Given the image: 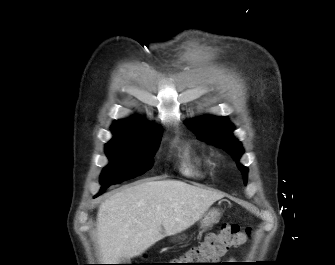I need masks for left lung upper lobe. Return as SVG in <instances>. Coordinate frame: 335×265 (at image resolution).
<instances>
[{
    "label": "left lung upper lobe",
    "mask_w": 335,
    "mask_h": 265,
    "mask_svg": "<svg viewBox=\"0 0 335 265\" xmlns=\"http://www.w3.org/2000/svg\"><path fill=\"white\" fill-rule=\"evenodd\" d=\"M186 126L195 132L199 139L226 150L235 161L244 153L241 143L233 136L234 126L226 117L204 116L186 122ZM237 167L246 183L248 169L239 163Z\"/></svg>",
    "instance_id": "1"
}]
</instances>
